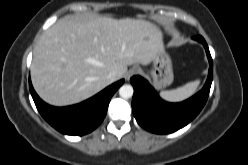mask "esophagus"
Masks as SVG:
<instances>
[{
  "instance_id": "obj_1",
  "label": "esophagus",
  "mask_w": 248,
  "mask_h": 165,
  "mask_svg": "<svg viewBox=\"0 0 248 165\" xmlns=\"http://www.w3.org/2000/svg\"><path fill=\"white\" fill-rule=\"evenodd\" d=\"M140 72V68L137 67V66H134L132 68H130L128 70V72L126 73L125 77L127 80H129L131 78V76L135 75V74H138Z\"/></svg>"
}]
</instances>
